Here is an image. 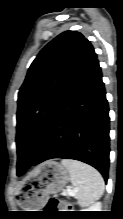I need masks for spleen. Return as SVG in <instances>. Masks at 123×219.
Wrapping results in <instances>:
<instances>
[{
	"label": "spleen",
	"mask_w": 123,
	"mask_h": 219,
	"mask_svg": "<svg viewBox=\"0 0 123 219\" xmlns=\"http://www.w3.org/2000/svg\"><path fill=\"white\" fill-rule=\"evenodd\" d=\"M70 174L71 182L76 187L78 204L82 207L92 205L103 194L104 180L93 167L70 159L61 161Z\"/></svg>",
	"instance_id": "3e777b00"
}]
</instances>
